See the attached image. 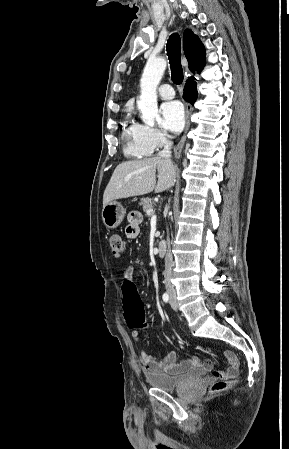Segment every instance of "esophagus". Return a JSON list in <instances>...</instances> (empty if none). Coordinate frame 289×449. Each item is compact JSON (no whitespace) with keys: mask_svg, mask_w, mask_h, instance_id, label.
I'll return each instance as SVG.
<instances>
[{"mask_svg":"<svg viewBox=\"0 0 289 449\" xmlns=\"http://www.w3.org/2000/svg\"><path fill=\"white\" fill-rule=\"evenodd\" d=\"M191 113H192L191 105L190 104H186V107H185V116H186L185 131H184L183 136L181 137V140L179 141V143L174 148V156L175 157H179L181 152H182L184 143L186 141V134H187V131H188L189 126H190V115H191Z\"/></svg>","mask_w":289,"mask_h":449,"instance_id":"1","label":"esophagus"}]
</instances>
